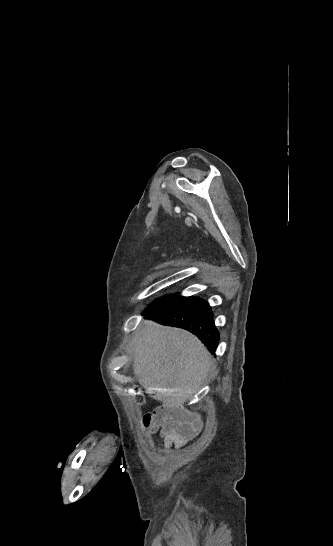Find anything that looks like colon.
<instances>
[{
    "instance_id": "obj_1",
    "label": "colon",
    "mask_w": 333,
    "mask_h": 546,
    "mask_svg": "<svg viewBox=\"0 0 333 546\" xmlns=\"http://www.w3.org/2000/svg\"><path fill=\"white\" fill-rule=\"evenodd\" d=\"M143 425L146 429L150 430V431H154L156 429V425H155V422H154V417L152 414H146L144 417H143Z\"/></svg>"
}]
</instances>
